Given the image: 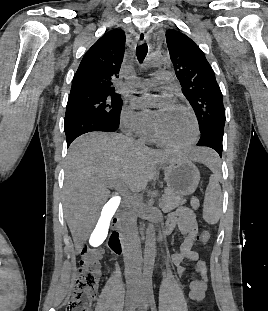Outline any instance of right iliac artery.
<instances>
[{"mask_svg": "<svg viewBox=\"0 0 268 311\" xmlns=\"http://www.w3.org/2000/svg\"><path fill=\"white\" fill-rule=\"evenodd\" d=\"M136 305L134 304V306L131 308L130 311H135Z\"/></svg>", "mask_w": 268, "mask_h": 311, "instance_id": "1", "label": "right iliac artery"}]
</instances>
